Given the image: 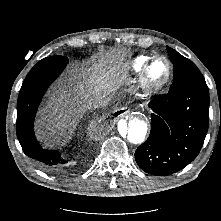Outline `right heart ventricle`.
I'll return each mask as SVG.
<instances>
[{"mask_svg":"<svg viewBox=\"0 0 221 221\" xmlns=\"http://www.w3.org/2000/svg\"><path fill=\"white\" fill-rule=\"evenodd\" d=\"M150 58L151 55H145V54L138 55L132 61V69L135 72H141Z\"/></svg>","mask_w":221,"mask_h":221,"instance_id":"1","label":"right heart ventricle"}]
</instances>
